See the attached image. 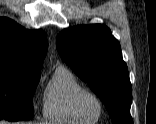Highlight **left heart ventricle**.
Wrapping results in <instances>:
<instances>
[{
  "label": "left heart ventricle",
  "instance_id": "b2bd125f",
  "mask_svg": "<svg viewBox=\"0 0 156 124\" xmlns=\"http://www.w3.org/2000/svg\"><path fill=\"white\" fill-rule=\"evenodd\" d=\"M82 108L89 118H95L99 113V105L91 96L82 99Z\"/></svg>",
  "mask_w": 156,
  "mask_h": 124
}]
</instances>
